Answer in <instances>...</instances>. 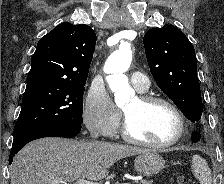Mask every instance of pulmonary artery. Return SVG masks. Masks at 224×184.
Here are the masks:
<instances>
[{
	"instance_id": "obj_1",
	"label": "pulmonary artery",
	"mask_w": 224,
	"mask_h": 184,
	"mask_svg": "<svg viewBox=\"0 0 224 184\" xmlns=\"http://www.w3.org/2000/svg\"><path fill=\"white\" fill-rule=\"evenodd\" d=\"M130 80L134 88L138 92H145L148 90L150 82L146 75L139 71H134L130 73Z\"/></svg>"
}]
</instances>
